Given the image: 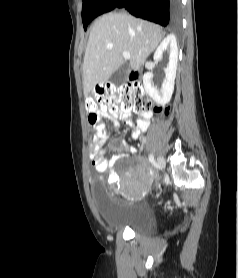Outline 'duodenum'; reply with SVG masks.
Listing matches in <instances>:
<instances>
[{
  "label": "duodenum",
  "mask_w": 238,
  "mask_h": 278,
  "mask_svg": "<svg viewBox=\"0 0 238 278\" xmlns=\"http://www.w3.org/2000/svg\"><path fill=\"white\" fill-rule=\"evenodd\" d=\"M138 78V74L136 72H132L130 74V81H135Z\"/></svg>",
  "instance_id": "410a0bca"
}]
</instances>
